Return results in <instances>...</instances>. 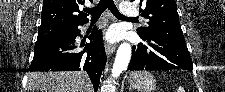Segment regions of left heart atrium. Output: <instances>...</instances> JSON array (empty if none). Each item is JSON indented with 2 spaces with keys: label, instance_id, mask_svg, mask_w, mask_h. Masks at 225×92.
<instances>
[{
  "label": "left heart atrium",
  "instance_id": "1",
  "mask_svg": "<svg viewBox=\"0 0 225 92\" xmlns=\"http://www.w3.org/2000/svg\"><path fill=\"white\" fill-rule=\"evenodd\" d=\"M117 36H118V32L116 29H110L107 33V39L109 41L115 40L117 38Z\"/></svg>",
  "mask_w": 225,
  "mask_h": 92
}]
</instances>
